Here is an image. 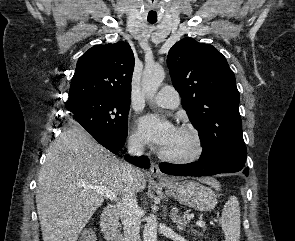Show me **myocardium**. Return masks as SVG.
Returning a JSON list of instances; mask_svg holds the SVG:
<instances>
[{"label": "myocardium", "instance_id": "myocardium-1", "mask_svg": "<svg viewBox=\"0 0 295 241\" xmlns=\"http://www.w3.org/2000/svg\"><path fill=\"white\" fill-rule=\"evenodd\" d=\"M179 130L191 135L194 142V149L189 154L181 156L171 155L161 151V158L176 164H191L197 162L203 157L206 151L205 141L201 132L195 126L190 124L182 125Z\"/></svg>", "mask_w": 295, "mask_h": 241}]
</instances>
